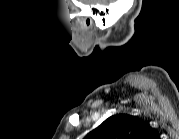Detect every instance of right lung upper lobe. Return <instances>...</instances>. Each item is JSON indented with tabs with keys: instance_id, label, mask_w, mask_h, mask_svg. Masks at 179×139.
<instances>
[{
	"instance_id": "obj_1",
	"label": "right lung upper lobe",
	"mask_w": 179,
	"mask_h": 139,
	"mask_svg": "<svg viewBox=\"0 0 179 139\" xmlns=\"http://www.w3.org/2000/svg\"><path fill=\"white\" fill-rule=\"evenodd\" d=\"M151 135L156 132L147 122L128 114H117L106 119L85 139H148Z\"/></svg>"
}]
</instances>
